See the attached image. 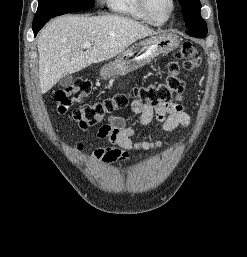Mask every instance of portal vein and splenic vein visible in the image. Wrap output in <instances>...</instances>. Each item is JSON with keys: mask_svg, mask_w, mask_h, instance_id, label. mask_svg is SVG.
Listing matches in <instances>:
<instances>
[{"mask_svg": "<svg viewBox=\"0 0 247 257\" xmlns=\"http://www.w3.org/2000/svg\"><path fill=\"white\" fill-rule=\"evenodd\" d=\"M92 46V43L91 42H85L83 43L82 47L83 48H90Z\"/></svg>", "mask_w": 247, "mask_h": 257, "instance_id": "obj_1", "label": "portal vein and splenic vein"}]
</instances>
